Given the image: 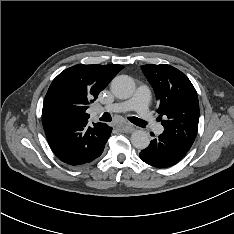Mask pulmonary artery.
<instances>
[{
	"label": "pulmonary artery",
	"mask_w": 234,
	"mask_h": 234,
	"mask_svg": "<svg viewBox=\"0 0 234 234\" xmlns=\"http://www.w3.org/2000/svg\"><path fill=\"white\" fill-rule=\"evenodd\" d=\"M149 98V88L142 85L138 88L133 98L127 101L113 103L107 106L106 110L113 113H119L135 109L143 121L150 123L152 121V114L148 108ZM154 126L157 132L162 131V127L160 125L154 124Z\"/></svg>",
	"instance_id": "pulmonary-artery-1"
}]
</instances>
